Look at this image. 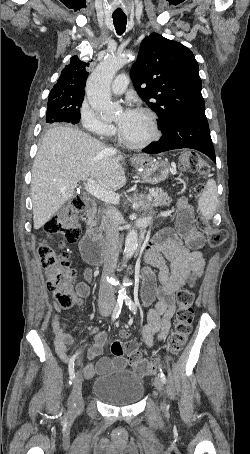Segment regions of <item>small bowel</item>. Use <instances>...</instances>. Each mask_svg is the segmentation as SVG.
<instances>
[{"instance_id": "1", "label": "small bowel", "mask_w": 250, "mask_h": 454, "mask_svg": "<svg viewBox=\"0 0 250 454\" xmlns=\"http://www.w3.org/2000/svg\"><path fill=\"white\" fill-rule=\"evenodd\" d=\"M176 223L177 233L171 229L158 233L145 253L146 266L142 269V301L145 307L155 303L142 330L144 343L148 347L154 345L156 334L159 341L168 336L175 313V292L183 287L193 274L200 276L204 268V259L199 251L203 246L204 237L194 226L192 209L183 199L177 204ZM152 268L158 270L157 278ZM92 278V271L87 269L85 279L77 284V306H81L89 295ZM52 327L55 350L62 361L70 363L67 348L74 342V338L68 333L66 323L60 321L58 314L53 316ZM88 332L94 335V343L87 353L89 361L80 366V369L85 378L92 379L108 372L113 362L107 357L100 358L97 363L93 362L102 354L107 337L95 327ZM115 365L122 366L123 359H117Z\"/></svg>"}]
</instances>
